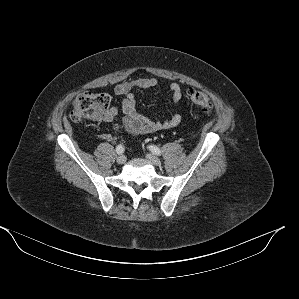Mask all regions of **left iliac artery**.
Masks as SVG:
<instances>
[{
    "mask_svg": "<svg viewBox=\"0 0 299 299\" xmlns=\"http://www.w3.org/2000/svg\"><path fill=\"white\" fill-rule=\"evenodd\" d=\"M149 149H150V151H151L153 154H156V155H158V156L161 155V150H160L157 146L150 145V146H149Z\"/></svg>",
    "mask_w": 299,
    "mask_h": 299,
    "instance_id": "44dca946",
    "label": "left iliac artery"
}]
</instances>
